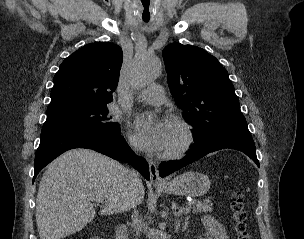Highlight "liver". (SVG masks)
Instances as JSON below:
<instances>
[{
    "mask_svg": "<svg viewBox=\"0 0 304 239\" xmlns=\"http://www.w3.org/2000/svg\"><path fill=\"white\" fill-rule=\"evenodd\" d=\"M126 168L89 149H73L55 159L44 172L36 199L40 239H62L82 230L96 214L93 201L104 202L101 215L141 203L142 182L128 190Z\"/></svg>",
    "mask_w": 304,
    "mask_h": 239,
    "instance_id": "6515ba94",
    "label": "liver"
}]
</instances>
